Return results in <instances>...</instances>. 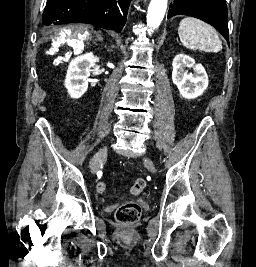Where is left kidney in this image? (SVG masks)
<instances>
[{"instance_id":"obj_1","label":"left kidney","mask_w":256,"mask_h":267,"mask_svg":"<svg viewBox=\"0 0 256 267\" xmlns=\"http://www.w3.org/2000/svg\"><path fill=\"white\" fill-rule=\"evenodd\" d=\"M172 82L177 86L182 98H197L208 88V76L202 64L186 54H177L173 62ZM185 68H193L194 74H188Z\"/></svg>"}]
</instances>
